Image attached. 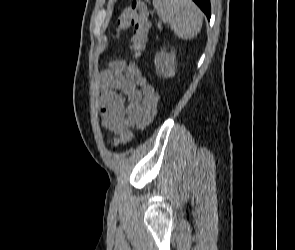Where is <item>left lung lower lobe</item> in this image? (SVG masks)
I'll return each mask as SVG.
<instances>
[{
  "instance_id": "0a47b994",
  "label": "left lung lower lobe",
  "mask_w": 295,
  "mask_h": 250,
  "mask_svg": "<svg viewBox=\"0 0 295 250\" xmlns=\"http://www.w3.org/2000/svg\"><path fill=\"white\" fill-rule=\"evenodd\" d=\"M206 14L208 19H210L211 16V8H210V0H193Z\"/></svg>"
}]
</instances>
